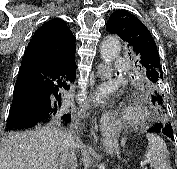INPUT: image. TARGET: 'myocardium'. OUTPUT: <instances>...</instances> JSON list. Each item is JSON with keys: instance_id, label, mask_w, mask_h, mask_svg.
Returning <instances> with one entry per match:
<instances>
[{"instance_id": "f54148a6", "label": "myocardium", "mask_w": 177, "mask_h": 169, "mask_svg": "<svg viewBox=\"0 0 177 169\" xmlns=\"http://www.w3.org/2000/svg\"><path fill=\"white\" fill-rule=\"evenodd\" d=\"M147 118L146 110L139 105L129 106L123 114V119L132 126L141 125Z\"/></svg>"}]
</instances>
